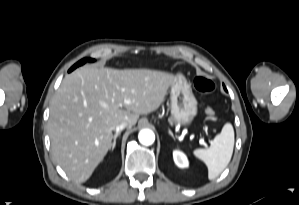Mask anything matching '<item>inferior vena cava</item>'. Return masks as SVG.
<instances>
[{"mask_svg": "<svg viewBox=\"0 0 299 205\" xmlns=\"http://www.w3.org/2000/svg\"><path fill=\"white\" fill-rule=\"evenodd\" d=\"M128 123L127 122H122L119 125L116 126L115 130L116 133L122 131L123 129H125L127 127Z\"/></svg>", "mask_w": 299, "mask_h": 205, "instance_id": "1", "label": "inferior vena cava"}]
</instances>
